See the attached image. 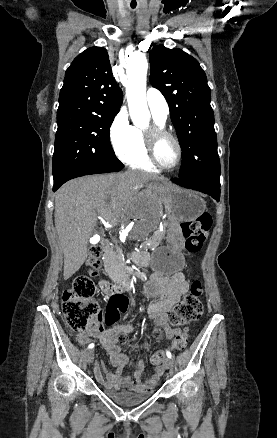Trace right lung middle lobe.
Segmentation results:
<instances>
[{
	"mask_svg": "<svg viewBox=\"0 0 277 438\" xmlns=\"http://www.w3.org/2000/svg\"><path fill=\"white\" fill-rule=\"evenodd\" d=\"M114 117L67 115L57 117L53 177L97 168H120L109 137Z\"/></svg>",
	"mask_w": 277,
	"mask_h": 438,
	"instance_id": "obj_1",
	"label": "right lung middle lobe"
}]
</instances>
